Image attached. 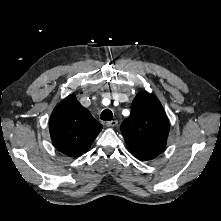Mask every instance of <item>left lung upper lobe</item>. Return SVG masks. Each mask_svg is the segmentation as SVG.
Wrapping results in <instances>:
<instances>
[{
	"instance_id": "5c2ea615",
	"label": "left lung upper lobe",
	"mask_w": 221,
	"mask_h": 221,
	"mask_svg": "<svg viewBox=\"0 0 221 221\" xmlns=\"http://www.w3.org/2000/svg\"><path fill=\"white\" fill-rule=\"evenodd\" d=\"M120 129L129 151L137 159L147 161L165 148L169 122L160 101L142 91L134 98L130 116Z\"/></svg>"
}]
</instances>
